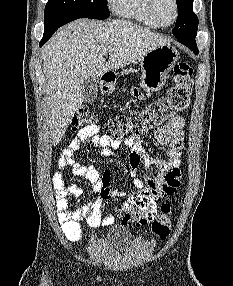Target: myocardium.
Returning <instances> with one entry per match:
<instances>
[{
	"label": "myocardium",
	"mask_w": 233,
	"mask_h": 286,
	"mask_svg": "<svg viewBox=\"0 0 233 286\" xmlns=\"http://www.w3.org/2000/svg\"><path fill=\"white\" fill-rule=\"evenodd\" d=\"M171 1L173 3L174 10H175L174 18L170 23L164 24V23L159 21L157 15H156V11H155L156 0H147L148 12H149L150 16L152 17V19L158 24L159 27H169V26L173 25L178 20V17H179L178 2H177V0H171Z\"/></svg>",
	"instance_id": "f54148a6"
}]
</instances>
